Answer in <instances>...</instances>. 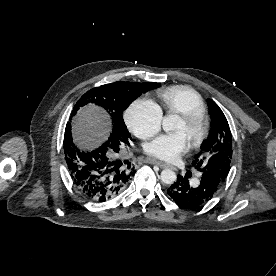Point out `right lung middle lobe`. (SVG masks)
Instances as JSON below:
<instances>
[{
  "instance_id": "right-lung-middle-lobe-1",
  "label": "right lung middle lobe",
  "mask_w": 276,
  "mask_h": 276,
  "mask_svg": "<svg viewBox=\"0 0 276 276\" xmlns=\"http://www.w3.org/2000/svg\"><path fill=\"white\" fill-rule=\"evenodd\" d=\"M159 83H133L118 81L95 87L86 92L76 103L72 115L80 108L95 104L103 107L112 118V132L108 141L103 146L108 145H130V133L123 121L124 110L142 93L154 88H158Z\"/></svg>"
}]
</instances>
